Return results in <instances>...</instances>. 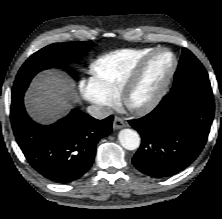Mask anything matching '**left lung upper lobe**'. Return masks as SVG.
I'll use <instances>...</instances> for the list:
<instances>
[{"label":"left lung upper lobe","mask_w":222,"mask_h":219,"mask_svg":"<svg viewBox=\"0 0 222 219\" xmlns=\"http://www.w3.org/2000/svg\"><path fill=\"white\" fill-rule=\"evenodd\" d=\"M191 88L212 94L208 74L201 62L186 48L182 50L171 90Z\"/></svg>","instance_id":"5c2ea615"}]
</instances>
